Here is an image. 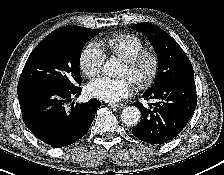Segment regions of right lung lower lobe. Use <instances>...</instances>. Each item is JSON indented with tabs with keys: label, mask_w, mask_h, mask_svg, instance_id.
Returning a JSON list of instances; mask_svg holds the SVG:
<instances>
[{
	"label": "right lung lower lobe",
	"mask_w": 224,
	"mask_h": 175,
	"mask_svg": "<svg viewBox=\"0 0 224 175\" xmlns=\"http://www.w3.org/2000/svg\"><path fill=\"white\" fill-rule=\"evenodd\" d=\"M17 93L25 125L53 147L68 146L82 138L101 105L97 99L69 104L81 94L80 87L65 89L44 83H24L18 84Z\"/></svg>",
	"instance_id": "1"
}]
</instances>
